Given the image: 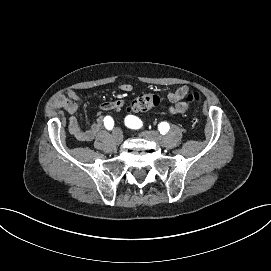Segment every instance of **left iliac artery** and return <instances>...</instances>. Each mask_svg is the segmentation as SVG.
<instances>
[{
  "mask_svg": "<svg viewBox=\"0 0 271 271\" xmlns=\"http://www.w3.org/2000/svg\"><path fill=\"white\" fill-rule=\"evenodd\" d=\"M125 124L131 129H139L142 126V121L133 115H129L125 118ZM168 129L169 124L167 122H161L158 126V132L161 133H168Z\"/></svg>",
  "mask_w": 271,
  "mask_h": 271,
  "instance_id": "1",
  "label": "left iliac artery"
}]
</instances>
